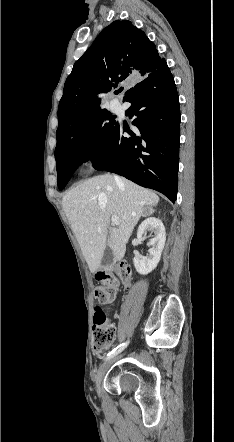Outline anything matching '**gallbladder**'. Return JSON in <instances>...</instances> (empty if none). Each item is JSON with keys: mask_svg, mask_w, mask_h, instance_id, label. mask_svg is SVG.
Wrapping results in <instances>:
<instances>
[{"mask_svg": "<svg viewBox=\"0 0 234 442\" xmlns=\"http://www.w3.org/2000/svg\"><path fill=\"white\" fill-rule=\"evenodd\" d=\"M112 257H113L112 249L110 248V246H108L104 252L100 269L109 270L112 262Z\"/></svg>", "mask_w": 234, "mask_h": 442, "instance_id": "1", "label": "gallbladder"}]
</instances>
